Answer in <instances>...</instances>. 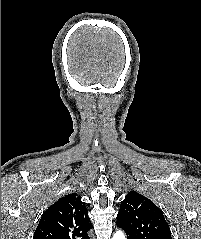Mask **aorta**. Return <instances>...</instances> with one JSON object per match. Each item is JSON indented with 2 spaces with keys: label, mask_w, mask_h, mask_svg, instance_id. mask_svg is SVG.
Returning <instances> with one entry per match:
<instances>
[{
  "label": "aorta",
  "mask_w": 201,
  "mask_h": 239,
  "mask_svg": "<svg viewBox=\"0 0 201 239\" xmlns=\"http://www.w3.org/2000/svg\"><path fill=\"white\" fill-rule=\"evenodd\" d=\"M112 239H126V236L124 232L119 230L113 235Z\"/></svg>",
  "instance_id": "aorta-1"
}]
</instances>
